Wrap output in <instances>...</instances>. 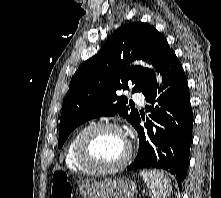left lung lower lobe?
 Returning <instances> with one entry per match:
<instances>
[{"instance_id":"obj_1","label":"left lung lower lobe","mask_w":221,"mask_h":198,"mask_svg":"<svg viewBox=\"0 0 221 198\" xmlns=\"http://www.w3.org/2000/svg\"><path fill=\"white\" fill-rule=\"evenodd\" d=\"M161 74L162 88H158L155 80L142 92L151 120L146 119L145 130L140 126V116L134 125L139 136V153L127 170L149 167L167 170L176 177L181 190L189 162L193 113L188 82L174 52ZM155 102L158 105L154 106Z\"/></svg>"}]
</instances>
